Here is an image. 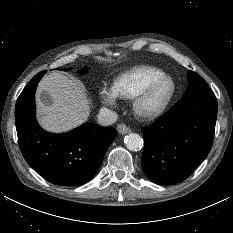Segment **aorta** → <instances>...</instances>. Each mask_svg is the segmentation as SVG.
<instances>
[{
	"mask_svg": "<svg viewBox=\"0 0 233 233\" xmlns=\"http://www.w3.org/2000/svg\"><path fill=\"white\" fill-rule=\"evenodd\" d=\"M124 143L129 150L137 151L142 148L143 139L137 133H130L125 137Z\"/></svg>",
	"mask_w": 233,
	"mask_h": 233,
	"instance_id": "762f6f07",
	"label": "aorta"
}]
</instances>
